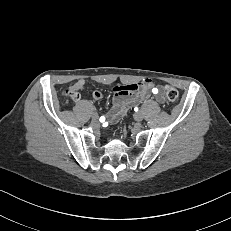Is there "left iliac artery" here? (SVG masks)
I'll use <instances>...</instances> for the list:
<instances>
[{"instance_id": "44dca946", "label": "left iliac artery", "mask_w": 231, "mask_h": 231, "mask_svg": "<svg viewBox=\"0 0 231 231\" xmlns=\"http://www.w3.org/2000/svg\"><path fill=\"white\" fill-rule=\"evenodd\" d=\"M152 92H153V94H157L158 93V89L157 88H153Z\"/></svg>"}]
</instances>
